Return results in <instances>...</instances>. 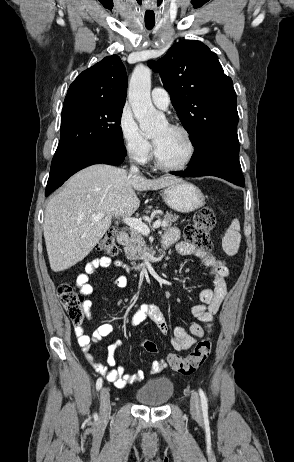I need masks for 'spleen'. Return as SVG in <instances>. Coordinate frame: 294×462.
I'll return each mask as SVG.
<instances>
[{
    "mask_svg": "<svg viewBox=\"0 0 294 462\" xmlns=\"http://www.w3.org/2000/svg\"><path fill=\"white\" fill-rule=\"evenodd\" d=\"M240 242V223L237 219H235L225 232L222 239V248L227 255L232 256L238 252Z\"/></svg>",
    "mask_w": 294,
    "mask_h": 462,
    "instance_id": "1",
    "label": "spleen"
}]
</instances>
